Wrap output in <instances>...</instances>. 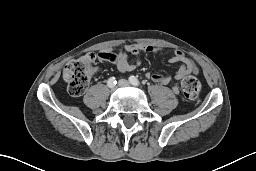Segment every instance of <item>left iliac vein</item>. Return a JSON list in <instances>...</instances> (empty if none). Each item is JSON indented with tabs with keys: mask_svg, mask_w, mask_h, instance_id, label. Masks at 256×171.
<instances>
[{
	"mask_svg": "<svg viewBox=\"0 0 256 171\" xmlns=\"http://www.w3.org/2000/svg\"><path fill=\"white\" fill-rule=\"evenodd\" d=\"M118 85L120 87H128V86H130V83L125 79H121V80H119Z\"/></svg>",
	"mask_w": 256,
	"mask_h": 171,
	"instance_id": "1",
	"label": "left iliac vein"
}]
</instances>
